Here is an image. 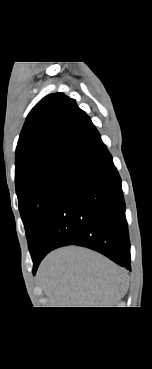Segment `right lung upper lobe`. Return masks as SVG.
I'll return each mask as SVG.
<instances>
[{
    "label": "right lung upper lobe",
    "mask_w": 152,
    "mask_h": 369,
    "mask_svg": "<svg viewBox=\"0 0 152 369\" xmlns=\"http://www.w3.org/2000/svg\"><path fill=\"white\" fill-rule=\"evenodd\" d=\"M101 140L90 118L63 93L44 97L30 111L16 147L17 182L59 161L76 162Z\"/></svg>",
    "instance_id": "cb5924a9"
}]
</instances>
